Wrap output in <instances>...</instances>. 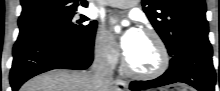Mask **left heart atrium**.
Segmentation results:
<instances>
[{
	"mask_svg": "<svg viewBox=\"0 0 220 91\" xmlns=\"http://www.w3.org/2000/svg\"><path fill=\"white\" fill-rule=\"evenodd\" d=\"M116 22V20L112 21L113 24H115ZM141 34V30L134 25L128 27L121 34L119 38V45L125 55L134 47L136 42L139 40Z\"/></svg>",
	"mask_w": 220,
	"mask_h": 91,
	"instance_id": "39dd6f15",
	"label": "left heart atrium"
}]
</instances>
